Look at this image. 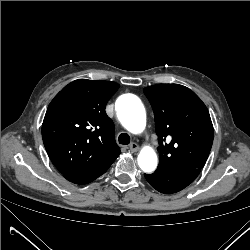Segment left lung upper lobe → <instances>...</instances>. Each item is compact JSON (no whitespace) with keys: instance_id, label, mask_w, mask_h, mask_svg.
Listing matches in <instances>:
<instances>
[{"instance_id":"left-lung-upper-lobe-1","label":"left lung upper lobe","mask_w":250,"mask_h":250,"mask_svg":"<svg viewBox=\"0 0 250 250\" xmlns=\"http://www.w3.org/2000/svg\"><path fill=\"white\" fill-rule=\"evenodd\" d=\"M144 93L154 111L160 144L157 170L202 169L213 143V125L205 104L179 84L153 85Z\"/></svg>"}]
</instances>
